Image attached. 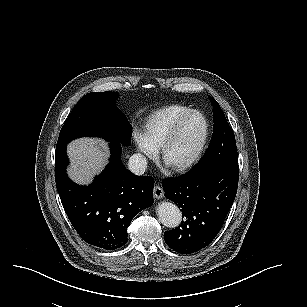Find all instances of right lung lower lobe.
Listing matches in <instances>:
<instances>
[{"label":"right lung lower lobe","instance_id":"98d812e1","mask_svg":"<svg viewBox=\"0 0 307 307\" xmlns=\"http://www.w3.org/2000/svg\"><path fill=\"white\" fill-rule=\"evenodd\" d=\"M106 169L90 186L73 183L66 173V146L56 149L55 181L63 208L79 236L89 245L105 250L127 242L132 218L153 204L154 179L136 176L121 162V145L110 142Z\"/></svg>","mask_w":307,"mask_h":307}]
</instances>
